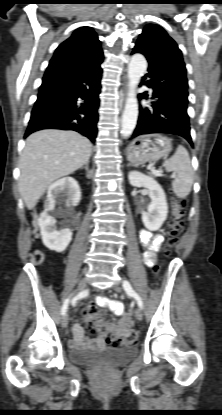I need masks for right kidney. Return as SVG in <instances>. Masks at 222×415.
<instances>
[{"label": "right kidney", "mask_w": 222, "mask_h": 415, "mask_svg": "<svg viewBox=\"0 0 222 415\" xmlns=\"http://www.w3.org/2000/svg\"><path fill=\"white\" fill-rule=\"evenodd\" d=\"M65 196L68 208L77 206L81 200L80 186L72 177H64L49 186L47 203L38 219L44 245L56 252H63L72 240V231L69 228L58 229L56 225V218L64 216L65 212L55 210V203L57 199L62 200Z\"/></svg>", "instance_id": "right-kidney-1"}]
</instances>
